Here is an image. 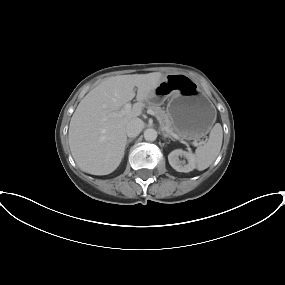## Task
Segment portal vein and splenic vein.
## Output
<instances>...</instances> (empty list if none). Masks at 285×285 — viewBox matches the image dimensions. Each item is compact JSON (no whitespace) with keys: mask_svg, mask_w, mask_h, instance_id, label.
I'll use <instances>...</instances> for the list:
<instances>
[{"mask_svg":"<svg viewBox=\"0 0 285 285\" xmlns=\"http://www.w3.org/2000/svg\"><path fill=\"white\" fill-rule=\"evenodd\" d=\"M131 107H132V105H131L130 103H126V104L124 105V107L121 109L120 114L123 115V114H125V113L130 112ZM148 114H150V115H152V116H155V117L157 118V120L159 121L161 127H162L166 132H168V133H169L170 135H172L174 138L179 139V137H178L174 132H172L171 130H169L168 127H166V126H164V125L162 124L160 118L158 117V115H157L154 111L148 110ZM204 143H205L204 141H201V142H199V143L193 142V145L197 146V145L204 144Z\"/></svg>","mask_w":285,"mask_h":285,"instance_id":"obj_1","label":"portal vein and splenic vein"}]
</instances>
